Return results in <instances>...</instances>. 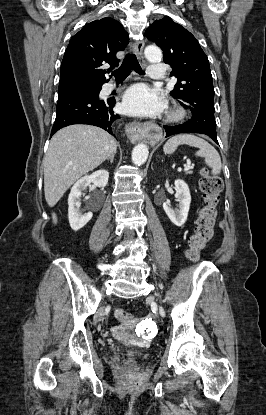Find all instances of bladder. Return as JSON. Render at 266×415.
<instances>
[{
  "mask_svg": "<svg viewBox=\"0 0 266 415\" xmlns=\"http://www.w3.org/2000/svg\"><path fill=\"white\" fill-rule=\"evenodd\" d=\"M136 353H137V354H140L141 352H140V351H136Z\"/></svg>",
  "mask_w": 266,
  "mask_h": 415,
  "instance_id": "bladder-1",
  "label": "bladder"
}]
</instances>
